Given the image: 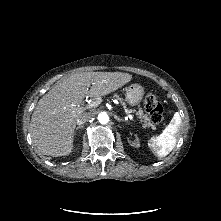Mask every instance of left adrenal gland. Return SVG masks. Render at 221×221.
<instances>
[{
  "instance_id": "1",
  "label": "left adrenal gland",
  "mask_w": 221,
  "mask_h": 221,
  "mask_svg": "<svg viewBox=\"0 0 221 221\" xmlns=\"http://www.w3.org/2000/svg\"><path fill=\"white\" fill-rule=\"evenodd\" d=\"M117 120L120 121V122H124L125 121L124 119H122L120 117H118Z\"/></svg>"
}]
</instances>
